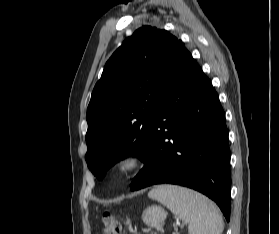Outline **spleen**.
I'll return each mask as SVG.
<instances>
[{"instance_id": "obj_1", "label": "spleen", "mask_w": 279, "mask_h": 234, "mask_svg": "<svg viewBox=\"0 0 279 234\" xmlns=\"http://www.w3.org/2000/svg\"><path fill=\"white\" fill-rule=\"evenodd\" d=\"M149 197L188 223L189 234H222L224 222L215 204L204 195L176 185H159Z\"/></svg>"}]
</instances>
